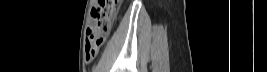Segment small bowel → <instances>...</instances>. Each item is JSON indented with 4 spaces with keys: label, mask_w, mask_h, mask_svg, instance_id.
Instances as JSON below:
<instances>
[{
    "label": "small bowel",
    "mask_w": 267,
    "mask_h": 72,
    "mask_svg": "<svg viewBox=\"0 0 267 72\" xmlns=\"http://www.w3.org/2000/svg\"><path fill=\"white\" fill-rule=\"evenodd\" d=\"M85 54H86V59L88 61L92 60L97 55V53L93 54V55L92 54H88V52H87V43H86V46H85Z\"/></svg>",
    "instance_id": "c3829d8e"
}]
</instances>
